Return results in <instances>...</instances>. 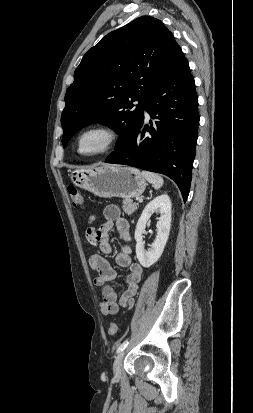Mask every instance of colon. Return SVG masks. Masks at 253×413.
Returning a JSON list of instances; mask_svg holds the SVG:
<instances>
[{
    "label": "colon",
    "mask_w": 253,
    "mask_h": 413,
    "mask_svg": "<svg viewBox=\"0 0 253 413\" xmlns=\"http://www.w3.org/2000/svg\"><path fill=\"white\" fill-rule=\"evenodd\" d=\"M68 195L71 199L73 206L78 207L83 204V197L74 185H69L67 188ZM118 331V326L115 323H111L108 328V334L114 336Z\"/></svg>",
    "instance_id": "5ec220e1"
}]
</instances>
